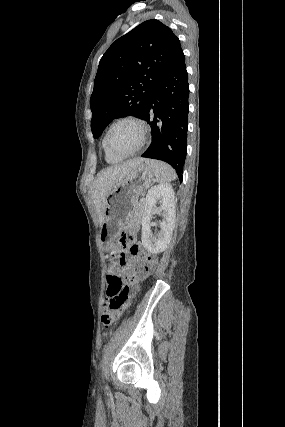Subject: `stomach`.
I'll list each match as a JSON object with an SVG mask.
<instances>
[{
	"mask_svg": "<svg viewBox=\"0 0 285 427\" xmlns=\"http://www.w3.org/2000/svg\"><path fill=\"white\" fill-rule=\"evenodd\" d=\"M153 170L144 163L133 167L125 179L112 188L107 196L100 240L106 245L134 217L138 197L154 181Z\"/></svg>",
	"mask_w": 285,
	"mask_h": 427,
	"instance_id": "0dacf381",
	"label": "stomach"
}]
</instances>
